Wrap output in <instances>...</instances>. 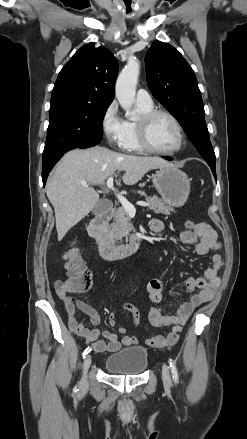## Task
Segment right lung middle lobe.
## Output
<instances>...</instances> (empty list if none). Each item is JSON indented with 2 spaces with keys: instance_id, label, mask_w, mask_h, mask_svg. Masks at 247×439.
Wrapping results in <instances>:
<instances>
[{
  "instance_id": "obj_1",
  "label": "right lung middle lobe",
  "mask_w": 247,
  "mask_h": 439,
  "mask_svg": "<svg viewBox=\"0 0 247 439\" xmlns=\"http://www.w3.org/2000/svg\"><path fill=\"white\" fill-rule=\"evenodd\" d=\"M108 107L68 102L50 106L43 161L65 151L99 144Z\"/></svg>"
}]
</instances>
